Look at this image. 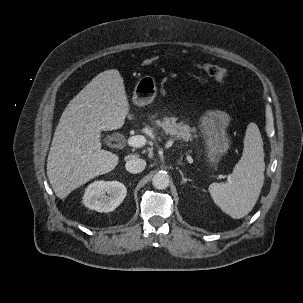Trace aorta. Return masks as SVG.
<instances>
[{
  "mask_svg": "<svg viewBox=\"0 0 303 303\" xmlns=\"http://www.w3.org/2000/svg\"><path fill=\"white\" fill-rule=\"evenodd\" d=\"M152 184L156 189L163 190L169 186V176L165 172H158L152 179Z\"/></svg>",
  "mask_w": 303,
  "mask_h": 303,
  "instance_id": "762f6f07",
  "label": "aorta"
}]
</instances>
